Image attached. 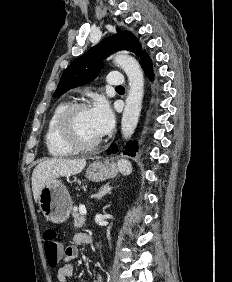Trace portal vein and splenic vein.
I'll list each match as a JSON object with an SVG mask.
<instances>
[{
	"instance_id": "portal-vein-and-splenic-vein-1",
	"label": "portal vein and splenic vein",
	"mask_w": 232,
	"mask_h": 282,
	"mask_svg": "<svg viewBox=\"0 0 232 282\" xmlns=\"http://www.w3.org/2000/svg\"><path fill=\"white\" fill-rule=\"evenodd\" d=\"M79 211H80V213H81L82 215H86V214H87V210H86V208H85L84 205H81V206L79 207Z\"/></svg>"
}]
</instances>
